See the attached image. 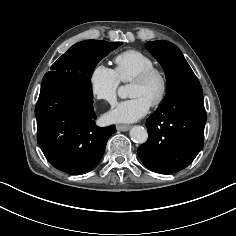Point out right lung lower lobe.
Wrapping results in <instances>:
<instances>
[{
	"instance_id": "right-lung-lower-lobe-1",
	"label": "right lung lower lobe",
	"mask_w": 236,
	"mask_h": 236,
	"mask_svg": "<svg viewBox=\"0 0 236 236\" xmlns=\"http://www.w3.org/2000/svg\"><path fill=\"white\" fill-rule=\"evenodd\" d=\"M37 142L46 159L68 174H85L104 154L115 126L95 124L91 85L60 73L45 75L35 108Z\"/></svg>"
}]
</instances>
